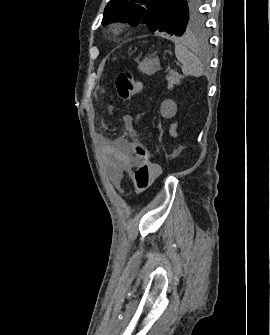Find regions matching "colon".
<instances>
[{"label":"colon","instance_id":"1","mask_svg":"<svg viewBox=\"0 0 270 335\" xmlns=\"http://www.w3.org/2000/svg\"><path fill=\"white\" fill-rule=\"evenodd\" d=\"M115 83L122 100L135 97L142 89V83L129 70L119 72ZM131 136L134 155L138 159V165L132 174V182L138 192H144L153 184L158 168L151 161L146 148L137 142L134 131L131 132Z\"/></svg>","mask_w":270,"mask_h":335}]
</instances>
